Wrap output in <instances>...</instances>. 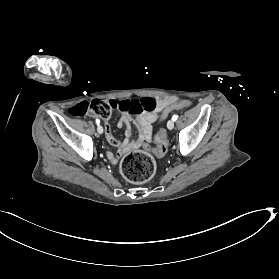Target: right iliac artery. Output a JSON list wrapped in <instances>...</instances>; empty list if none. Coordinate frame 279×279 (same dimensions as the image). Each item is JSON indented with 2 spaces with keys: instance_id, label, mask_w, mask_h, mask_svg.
Segmentation results:
<instances>
[{
  "instance_id": "82829eb1",
  "label": "right iliac artery",
  "mask_w": 279,
  "mask_h": 279,
  "mask_svg": "<svg viewBox=\"0 0 279 279\" xmlns=\"http://www.w3.org/2000/svg\"><path fill=\"white\" fill-rule=\"evenodd\" d=\"M100 121L99 119H96V124L99 125Z\"/></svg>"
}]
</instances>
